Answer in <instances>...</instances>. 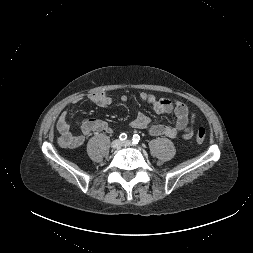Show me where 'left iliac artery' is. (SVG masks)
<instances>
[{
	"mask_svg": "<svg viewBox=\"0 0 253 253\" xmlns=\"http://www.w3.org/2000/svg\"><path fill=\"white\" fill-rule=\"evenodd\" d=\"M140 140V136L138 134H134L132 138V143L137 144Z\"/></svg>",
	"mask_w": 253,
	"mask_h": 253,
	"instance_id": "44dca946",
	"label": "left iliac artery"
}]
</instances>
